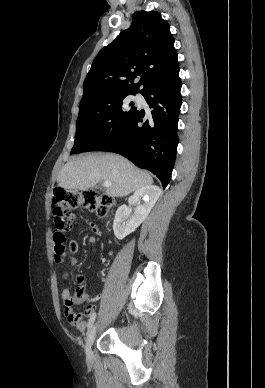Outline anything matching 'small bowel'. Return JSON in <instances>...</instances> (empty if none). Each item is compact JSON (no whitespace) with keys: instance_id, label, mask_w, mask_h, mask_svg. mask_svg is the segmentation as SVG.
<instances>
[{"instance_id":"1","label":"small bowel","mask_w":265,"mask_h":388,"mask_svg":"<svg viewBox=\"0 0 265 388\" xmlns=\"http://www.w3.org/2000/svg\"><path fill=\"white\" fill-rule=\"evenodd\" d=\"M99 241H100L99 238L96 237V236H89V237L87 238V240H86V242H87V244H88L89 246H97V245L99 244ZM71 263H72V264H75V263H76V259H72V260H71ZM86 297H88V295H87ZM62 298H63V300H64L66 306H68L71 296H70V292H69V290H68L67 288H64V289L62 290ZM98 299H99V296L93 298L92 300H93V301H96V300H98ZM94 309H95V307H94L93 305L87 306L86 309L84 310V315H85V316L92 315L93 312H94ZM90 317H91V316H90ZM86 324H87L86 321L80 319V321L78 322V324H76V325H74V326H75L78 330L84 331V330H85V327H86ZM87 325H88V324H87Z\"/></svg>"}]
</instances>
